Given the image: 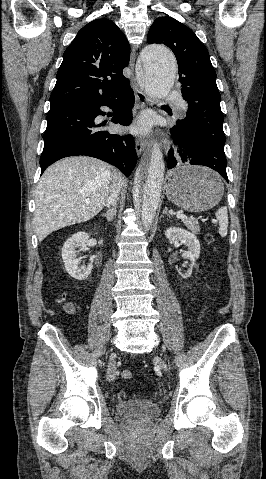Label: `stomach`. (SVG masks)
I'll return each instance as SVG.
<instances>
[{
    "label": "stomach",
    "instance_id": "1",
    "mask_svg": "<svg viewBox=\"0 0 266 479\" xmlns=\"http://www.w3.org/2000/svg\"><path fill=\"white\" fill-rule=\"evenodd\" d=\"M167 179V198L190 212L211 209L224 193V185L219 175L199 165H180L170 171Z\"/></svg>",
    "mask_w": 266,
    "mask_h": 479
}]
</instances>
